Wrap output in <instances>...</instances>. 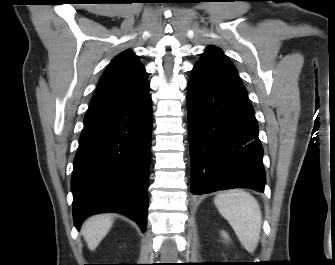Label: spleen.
<instances>
[{
	"instance_id": "1",
	"label": "spleen",
	"mask_w": 335,
	"mask_h": 265,
	"mask_svg": "<svg viewBox=\"0 0 335 265\" xmlns=\"http://www.w3.org/2000/svg\"><path fill=\"white\" fill-rule=\"evenodd\" d=\"M214 203L244 248L253 253L259 242L262 225V214L257 200L244 190L232 189L218 194Z\"/></svg>"
}]
</instances>
